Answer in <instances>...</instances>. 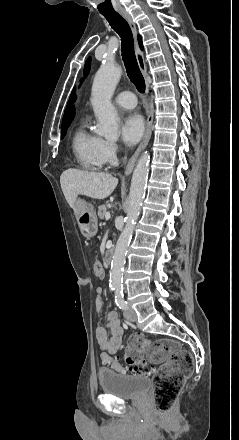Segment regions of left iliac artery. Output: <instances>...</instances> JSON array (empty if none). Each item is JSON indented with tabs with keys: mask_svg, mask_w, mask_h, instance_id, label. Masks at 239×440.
Segmentation results:
<instances>
[{
	"mask_svg": "<svg viewBox=\"0 0 239 440\" xmlns=\"http://www.w3.org/2000/svg\"><path fill=\"white\" fill-rule=\"evenodd\" d=\"M115 302L117 304V306L122 309L125 310L128 308L127 302L124 300V295H123V289L122 288H117L115 291Z\"/></svg>",
	"mask_w": 239,
	"mask_h": 440,
	"instance_id": "left-iliac-artery-1",
	"label": "left iliac artery"
}]
</instances>
